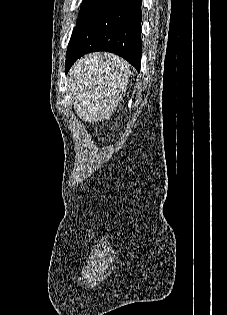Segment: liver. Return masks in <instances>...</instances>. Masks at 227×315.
I'll return each instance as SVG.
<instances>
[{
    "mask_svg": "<svg viewBox=\"0 0 227 315\" xmlns=\"http://www.w3.org/2000/svg\"><path fill=\"white\" fill-rule=\"evenodd\" d=\"M97 55L98 57H102V56H111L110 54H104V55H101V54H95Z\"/></svg>",
    "mask_w": 227,
    "mask_h": 315,
    "instance_id": "obj_1",
    "label": "liver"
}]
</instances>
